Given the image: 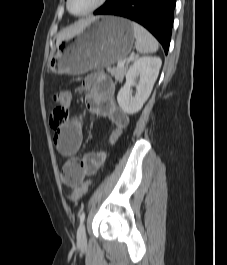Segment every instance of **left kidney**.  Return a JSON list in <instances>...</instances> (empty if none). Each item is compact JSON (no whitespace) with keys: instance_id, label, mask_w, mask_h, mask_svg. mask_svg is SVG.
<instances>
[{"instance_id":"5707ae66","label":"left kidney","mask_w":227,"mask_h":265,"mask_svg":"<svg viewBox=\"0 0 227 265\" xmlns=\"http://www.w3.org/2000/svg\"><path fill=\"white\" fill-rule=\"evenodd\" d=\"M162 61L159 57H140L126 73V83L117 95L121 109L127 114H135L141 110L149 98L158 77ZM139 83L136 85V78ZM136 85V94L132 96L131 88Z\"/></svg>"}]
</instances>
